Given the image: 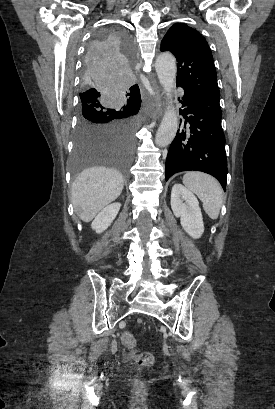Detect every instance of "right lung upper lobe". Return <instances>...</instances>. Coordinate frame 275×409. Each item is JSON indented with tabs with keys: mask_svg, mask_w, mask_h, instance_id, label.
I'll return each instance as SVG.
<instances>
[{
	"mask_svg": "<svg viewBox=\"0 0 275 409\" xmlns=\"http://www.w3.org/2000/svg\"><path fill=\"white\" fill-rule=\"evenodd\" d=\"M127 95L130 96L128 101L141 102V96H140L139 87L137 84L129 88V93Z\"/></svg>",
	"mask_w": 275,
	"mask_h": 409,
	"instance_id": "right-lung-upper-lobe-1",
	"label": "right lung upper lobe"
}]
</instances>
